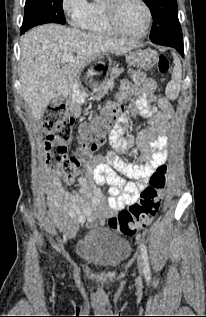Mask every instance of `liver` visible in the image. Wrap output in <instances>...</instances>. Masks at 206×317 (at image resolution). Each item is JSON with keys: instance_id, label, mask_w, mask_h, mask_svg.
<instances>
[{"instance_id": "6515ba94", "label": "liver", "mask_w": 206, "mask_h": 317, "mask_svg": "<svg viewBox=\"0 0 206 317\" xmlns=\"http://www.w3.org/2000/svg\"><path fill=\"white\" fill-rule=\"evenodd\" d=\"M139 43L86 33L57 24L29 30L21 41L20 80L25 102L35 118L56 98H71L85 65L105 53L124 55ZM75 54L60 67L65 54Z\"/></svg>"}]
</instances>
